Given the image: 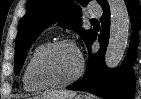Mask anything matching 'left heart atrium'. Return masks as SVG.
<instances>
[{"instance_id":"39dd6f15","label":"left heart atrium","mask_w":141,"mask_h":99,"mask_svg":"<svg viewBox=\"0 0 141 99\" xmlns=\"http://www.w3.org/2000/svg\"><path fill=\"white\" fill-rule=\"evenodd\" d=\"M76 51H77V53H79V50L78 49H76Z\"/></svg>"}]
</instances>
